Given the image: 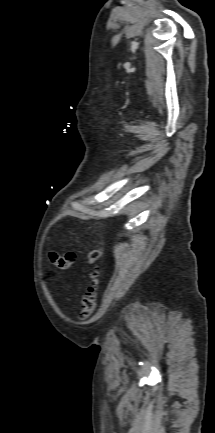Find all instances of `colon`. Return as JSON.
Here are the masks:
<instances>
[{"label":"colon","mask_w":215,"mask_h":433,"mask_svg":"<svg viewBox=\"0 0 215 433\" xmlns=\"http://www.w3.org/2000/svg\"><path fill=\"white\" fill-rule=\"evenodd\" d=\"M101 257L100 250H92L87 255V262L89 265H96ZM50 261L52 264L60 270H68L72 267L75 262L76 255L73 252L58 253L51 251L49 254ZM98 295V272L93 269L90 273V281L86 287L82 299H81V310L79 319L84 321L87 320L93 313Z\"/></svg>","instance_id":"5ec220e1"}]
</instances>
